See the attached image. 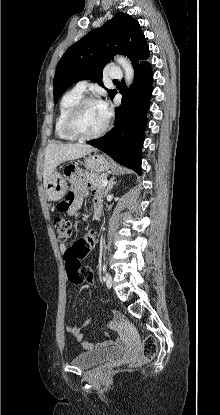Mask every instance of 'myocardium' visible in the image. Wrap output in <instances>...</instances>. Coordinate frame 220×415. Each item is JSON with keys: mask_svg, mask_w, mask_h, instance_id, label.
Wrapping results in <instances>:
<instances>
[{"mask_svg": "<svg viewBox=\"0 0 220 415\" xmlns=\"http://www.w3.org/2000/svg\"><path fill=\"white\" fill-rule=\"evenodd\" d=\"M89 104H98V101L94 98L87 97L82 98L79 100L68 112L65 122L64 128L69 135H71L75 139L79 140H92L101 137L108 129V121L104 124V126L94 134H84L78 128V118L82 112V110Z\"/></svg>", "mask_w": 220, "mask_h": 415, "instance_id": "obj_1", "label": "myocardium"}]
</instances>
